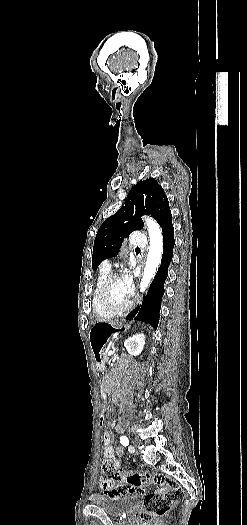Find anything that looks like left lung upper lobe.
Here are the masks:
<instances>
[{"label": "left lung upper lobe", "instance_id": "5c2ea615", "mask_svg": "<svg viewBox=\"0 0 247 525\" xmlns=\"http://www.w3.org/2000/svg\"><path fill=\"white\" fill-rule=\"evenodd\" d=\"M141 215H151L159 225L171 215L165 192L154 178L139 181L128 193L124 206L100 226L92 254L94 270L102 260L118 254L123 239L132 231L142 229Z\"/></svg>", "mask_w": 247, "mask_h": 525}]
</instances>
